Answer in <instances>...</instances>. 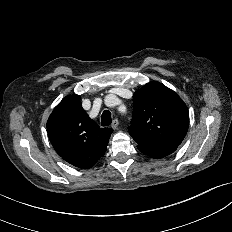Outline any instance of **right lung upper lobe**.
Masks as SVG:
<instances>
[{"label":"right lung upper lobe","mask_w":232,"mask_h":232,"mask_svg":"<svg viewBox=\"0 0 232 232\" xmlns=\"http://www.w3.org/2000/svg\"><path fill=\"white\" fill-rule=\"evenodd\" d=\"M49 140L68 163L91 168L106 151L113 129L100 128L83 110L80 96H66L47 121Z\"/></svg>","instance_id":"cb5924a9"}]
</instances>
